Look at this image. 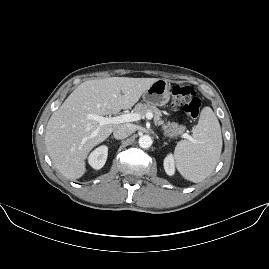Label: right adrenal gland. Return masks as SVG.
Wrapping results in <instances>:
<instances>
[{"mask_svg": "<svg viewBox=\"0 0 269 269\" xmlns=\"http://www.w3.org/2000/svg\"><path fill=\"white\" fill-rule=\"evenodd\" d=\"M109 138H110L112 141H114V137H113V136H110Z\"/></svg>", "mask_w": 269, "mask_h": 269, "instance_id": "right-adrenal-gland-1", "label": "right adrenal gland"}]
</instances>
